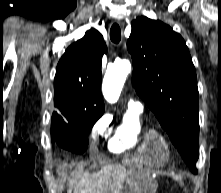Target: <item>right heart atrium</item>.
I'll list each match as a JSON object with an SVG mask.
<instances>
[{"label": "right heart atrium", "mask_w": 221, "mask_h": 193, "mask_svg": "<svg viewBox=\"0 0 221 193\" xmlns=\"http://www.w3.org/2000/svg\"><path fill=\"white\" fill-rule=\"evenodd\" d=\"M110 120V116L104 114L96 121L91 131L93 139L96 140L104 134L110 124Z\"/></svg>", "instance_id": "right-heart-atrium-1"}]
</instances>
